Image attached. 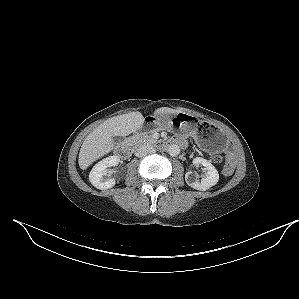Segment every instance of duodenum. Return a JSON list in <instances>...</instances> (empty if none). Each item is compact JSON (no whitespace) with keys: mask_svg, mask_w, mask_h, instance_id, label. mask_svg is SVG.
Listing matches in <instances>:
<instances>
[{"mask_svg":"<svg viewBox=\"0 0 299 299\" xmlns=\"http://www.w3.org/2000/svg\"><path fill=\"white\" fill-rule=\"evenodd\" d=\"M172 144L183 146L184 142L180 139H175L172 142L171 141H160L158 143V147L166 148ZM131 151H132V146L129 142L122 143L116 148V154L121 158L129 157L131 154Z\"/></svg>","mask_w":299,"mask_h":299,"instance_id":"410a0bca","label":"duodenum"}]
</instances>
